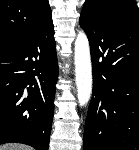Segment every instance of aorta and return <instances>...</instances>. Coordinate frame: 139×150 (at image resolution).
<instances>
[{"label": "aorta", "mask_w": 139, "mask_h": 150, "mask_svg": "<svg viewBox=\"0 0 139 150\" xmlns=\"http://www.w3.org/2000/svg\"><path fill=\"white\" fill-rule=\"evenodd\" d=\"M74 51L77 97L80 106H85L92 94V65L89 41L83 30L77 35Z\"/></svg>", "instance_id": "obj_1"}]
</instances>
